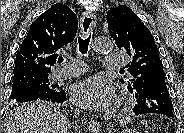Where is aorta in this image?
I'll return each instance as SVG.
<instances>
[{"label": "aorta", "mask_w": 184, "mask_h": 133, "mask_svg": "<svg viewBox=\"0 0 184 133\" xmlns=\"http://www.w3.org/2000/svg\"><path fill=\"white\" fill-rule=\"evenodd\" d=\"M113 42L107 38L96 37L92 41V48L96 52L107 53L113 50Z\"/></svg>", "instance_id": "1"}]
</instances>
